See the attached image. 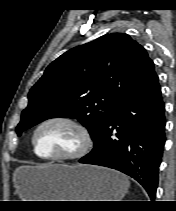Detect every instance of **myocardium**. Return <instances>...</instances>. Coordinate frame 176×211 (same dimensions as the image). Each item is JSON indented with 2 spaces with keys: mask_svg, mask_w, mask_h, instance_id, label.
Returning a JSON list of instances; mask_svg holds the SVG:
<instances>
[{
  "mask_svg": "<svg viewBox=\"0 0 176 211\" xmlns=\"http://www.w3.org/2000/svg\"><path fill=\"white\" fill-rule=\"evenodd\" d=\"M52 123H62L70 126L73 128L78 136H79V147L78 149L66 155H58V156H43L41 155L36 146V137L38 132L46 125ZM93 136L90 130L80 121L68 117V116H53L49 117L43 121H41L34 129L31 137V144L35 155L42 160L45 161H57V162H64V161H73L84 157L93 147Z\"/></svg>",
  "mask_w": 176,
  "mask_h": 211,
  "instance_id": "myocardium-1",
  "label": "myocardium"
}]
</instances>
